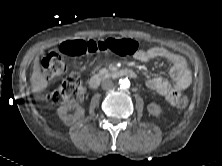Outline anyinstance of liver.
Returning a JSON list of instances; mask_svg holds the SVG:
<instances>
[{"mask_svg": "<svg viewBox=\"0 0 222 166\" xmlns=\"http://www.w3.org/2000/svg\"><path fill=\"white\" fill-rule=\"evenodd\" d=\"M31 86L32 92L36 93L37 95L44 91L47 86L48 82L44 74L41 73V67L39 64V56H36L33 65V72L31 75Z\"/></svg>", "mask_w": 222, "mask_h": 166, "instance_id": "obj_1", "label": "liver"}]
</instances>
